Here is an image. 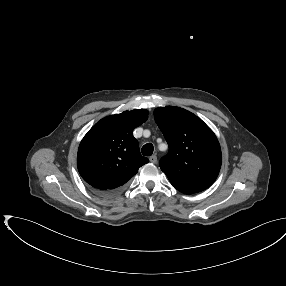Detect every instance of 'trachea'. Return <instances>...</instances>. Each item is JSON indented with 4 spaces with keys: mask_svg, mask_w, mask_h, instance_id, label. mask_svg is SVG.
Listing matches in <instances>:
<instances>
[{
    "mask_svg": "<svg viewBox=\"0 0 286 286\" xmlns=\"http://www.w3.org/2000/svg\"><path fill=\"white\" fill-rule=\"evenodd\" d=\"M153 150H154L153 145L151 143H147L142 147L141 152L144 156H151Z\"/></svg>",
    "mask_w": 286,
    "mask_h": 286,
    "instance_id": "1",
    "label": "trachea"
}]
</instances>
